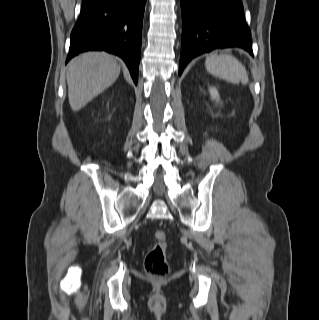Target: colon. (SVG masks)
Segmentation results:
<instances>
[{
    "mask_svg": "<svg viewBox=\"0 0 319 320\" xmlns=\"http://www.w3.org/2000/svg\"><path fill=\"white\" fill-rule=\"evenodd\" d=\"M156 243L148 252L144 260L146 273L151 277H164L169 273V265L166 261L167 235L158 230L154 233Z\"/></svg>",
    "mask_w": 319,
    "mask_h": 320,
    "instance_id": "colon-1",
    "label": "colon"
}]
</instances>
